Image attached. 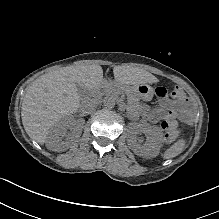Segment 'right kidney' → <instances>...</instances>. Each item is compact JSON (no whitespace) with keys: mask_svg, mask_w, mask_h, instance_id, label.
I'll use <instances>...</instances> for the list:
<instances>
[{"mask_svg":"<svg viewBox=\"0 0 219 219\" xmlns=\"http://www.w3.org/2000/svg\"><path fill=\"white\" fill-rule=\"evenodd\" d=\"M67 126H73V131H77L75 125H71V120L64 122L61 126L54 129L49 136L47 147L55 152H64L68 149V145L62 141V138L67 134ZM75 137H80V134H76Z\"/></svg>","mask_w":219,"mask_h":219,"instance_id":"1","label":"right kidney"}]
</instances>
